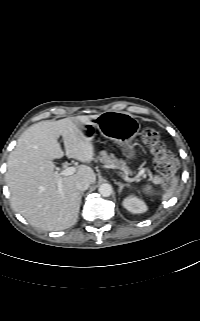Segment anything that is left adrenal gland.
<instances>
[{
    "label": "left adrenal gland",
    "instance_id": "1",
    "mask_svg": "<svg viewBox=\"0 0 200 321\" xmlns=\"http://www.w3.org/2000/svg\"><path fill=\"white\" fill-rule=\"evenodd\" d=\"M116 184L119 186V194H121L124 187H129L128 184H123L121 182H116Z\"/></svg>",
    "mask_w": 200,
    "mask_h": 321
}]
</instances>
